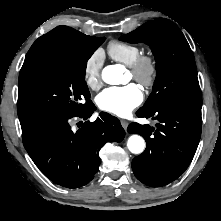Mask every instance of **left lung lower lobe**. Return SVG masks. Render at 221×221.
<instances>
[{
  "mask_svg": "<svg viewBox=\"0 0 221 221\" xmlns=\"http://www.w3.org/2000/svg\"><path fill=\"white\" fill-rule=\"evenodd\" d=\"M138 117L156 119L157 128L131 123L129 133L147 142L145 151L132 160V169L142 183L161 187L177 179L191 163L201 137V107L159 102L140 108Z\"/></svg>",
  "mask_w": 221,
  "mask_h": 221,
  "instance_id": "1",
  "label": "left lung lower lobe"
}]
</instances>
